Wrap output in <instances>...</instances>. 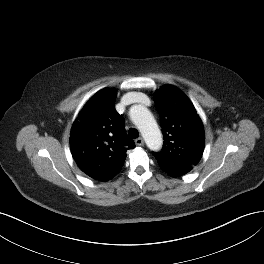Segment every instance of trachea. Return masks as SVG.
<instances>
[{"instance_id":"3493384b","label":"trachea","mask_w":264,"mask_h":264,"mask_svg":"<svg viewBox=\"0 0 264 264\" xmlns=\"http://www.w3.org/2000/svg\"><path fill=\"white\" fill-rule=\"evenodd\" d=\"M128 134L132 139H136L139 137V132L135 128H130Z\"/></svg>"}]
</instances>
